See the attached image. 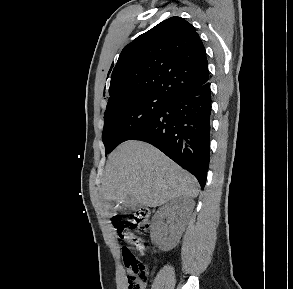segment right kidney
<instances>
[{"mask_svg": "<svg viewBox=\"0 0 293 289\" xmlns=\"http://www.w3.org/2000/svg\"><path fill=\"white\" fill-rule=\"evenodd\" d=\"M165 219H168V225H164ZM185 226V203L182 198L171 200L162 206L154 216V228L160 235V243L168 249L179 242Z\"/></svg>", "mask_w": 293, "mask_h": 289, "instance_id": "ca27d5eb", "label": "right kidney"}]
</instances>
